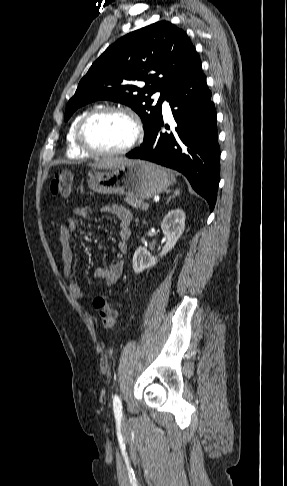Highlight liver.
I'll return each instance as SVG.
<instances>
[{"mask_svg":"<svg viewBox=\"0 0 287 486\" xmlns=\"http://www.w3.org/2000/svg\"><path fill=\"white\" fill-rule=\"evenodd\" d=\"M126 161H128L126 158H111L98 163H90L89 166L94 169H113Z\"/></svg>","mask_w":287,"mask_h":486,"instance_id":"obj_1","label":"liver"}]
</instances>
